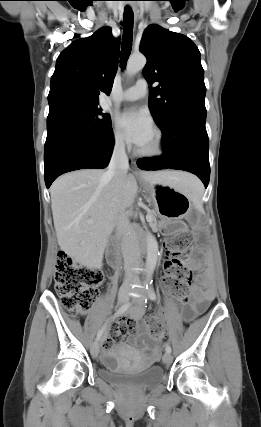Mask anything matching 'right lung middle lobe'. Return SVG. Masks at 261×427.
I'll use <instances>...</instances> for the list:
<instances>
[{"mask_svg": "<svg viewBox=\"0 0 261 427\" xmlns=\"http://www.w3.org/2000/svg\"><path fill=\"white\" fill-rule=\"evenodd\" d=\"M58 129L100 134L111 129V118L97 104L62 105L50 109L47 117V132Z\"/></svg>", "mask_w": 261, "mask_h": 427, "instance_id": "right-lung-middle-lobe-1", "label": "right lung middle lobe"}]
</instances>
